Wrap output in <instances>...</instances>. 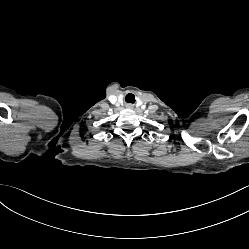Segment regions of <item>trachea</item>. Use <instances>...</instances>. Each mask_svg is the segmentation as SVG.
<instances>
[{
  "label": "trachea",
  "mask_w": 249,
  "mask_h": 249,
  "mask_svg": "<svg viewBox=\"0 0 249 249\" xmlns=\"http://www.w3.org/2000/svg\"><path fill=\"white\" fill-rule=\"evenodd\" d=\"M125 100L128 103H134L135 102V96L132 93H129V94L126 95Z\"/></svg>",
  "instance_id": "trachea-1"
}]
</instances>
